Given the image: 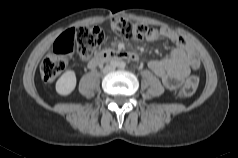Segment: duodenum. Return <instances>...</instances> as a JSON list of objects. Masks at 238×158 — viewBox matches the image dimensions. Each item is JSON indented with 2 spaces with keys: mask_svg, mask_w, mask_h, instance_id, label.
Returning <instances> with one entry per match:
<instances>
[{
  "mask_svg": "<svg viewBox=\"0 0 238 158\" xmlns=\"http://www.w3.org/2000/svg\"><path fill=\"white\" fill-rule=\"evenodd\" d=\"M121 60L136 61L138 60V56L132 52L104 50L97 53L90 60L88 66L90 68H95L98 65L105 62H113V61H121Z\"/></svg>",
  "mask_w": 238,
  "mask_h": 158,
  "instance_id": "obj_1",
  "label": "duodenum"
}]
</instances>
